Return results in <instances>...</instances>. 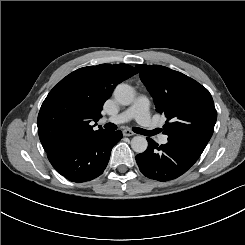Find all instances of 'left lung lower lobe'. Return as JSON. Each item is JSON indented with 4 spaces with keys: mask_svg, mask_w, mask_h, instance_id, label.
Wrapping results in <instances>:
<instances>
[{
    "mask_svg": "<svg viewBox=\"0 0 245 245\" xmlns=\"http://www.w3.org/2000/svg\"><path fill=\"white\" fill-rule=\"evenodd\" d=\"M148 148L135 158L140 171L148 178L158 181L176 179L187 172L203 151L191 149L168 139V143L158 146L147 138Z\"/></svg>",
    "mask_w": 245,
    "mask_h": 245,
    "instance_id": "left-lung-lower-lobe-1",
    "label": "left lung lower lobe"
}]
</instances>
